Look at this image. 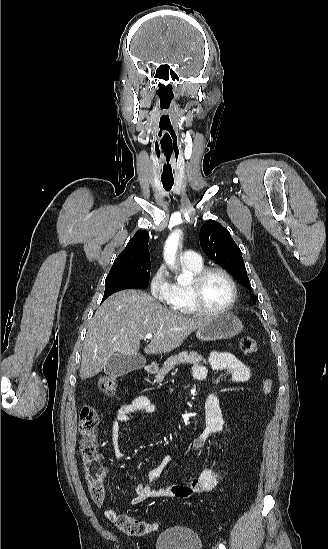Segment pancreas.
Segmentation results:
<instances>
[{
	"label": "pancreas",
	"instance_id": "obj_1",
	"mask_svg": "<svg viewBox=\"0 0 328 549\" xmlns=\"http://www.w3.org/2000/svg\"><path fill=\"white\" fill-rule=\"evenodd\" d=\"M182 363H191V365H200V363H204V365H207V361L203 359L202 355H198L195 351H190V353H188V351H183V353H178V355H172V357H169V359L165 361L164 367L155 375V381L161 383L171 369H174L177 365H182Z\"/></svg>",
	"mask_w": 328,
	"mask_h": 549
}]
</instances>
